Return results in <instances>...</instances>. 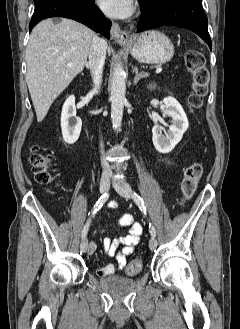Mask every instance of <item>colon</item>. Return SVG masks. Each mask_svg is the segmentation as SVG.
Returning <instances> with one entry per match:
<instances>
[{
  "label": "colon",
  "mask_w": 240,
  "mask_h": 329,
  "mask_svg": "<svg viewBox=\"0 0 240 329\" xmlns=\"http://www.w3.org/2000/svg\"><path fill=\"white\" fill-rule=\"evenodd\" d=\"M185 65L192 75L191 91L188 96V103L191 108L198 109L203 103V98L207 93L209 72L205 65V59L201 51L191 49L186 52ZM51 161L52 157L46 153L43 148L35 145L31 149L29 163L34 174V179L39 184H47L51 180ZM203 174V165L200 162H194L185 171L181 181L182 201L189 200L195 193L197 184ZM141 261L136 259L128 264L126 273L128 275L136 274L141 269Z\"/></svg>",
  "instance_id": "1"
}]
</instances>
